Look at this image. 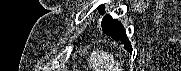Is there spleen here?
Returning a JSON list of instances; mask_svg holds the SVG:
<instances>
[{
	"mask_svg": "<svg viewBox=\"0 0 181 71\" xmlns=\"http://www.w3.org/2000/svg\"><path fill=\"white\" fill-rule=\"evenodd\" d=\"M94 71H121L120 64L103 51L94 53L89 61Z\"/></svg>",
	"mask_w": 181,
	"mask_h": 71,
	"instance_id": "1",
	"label": "spleen"
}]
</instances>
